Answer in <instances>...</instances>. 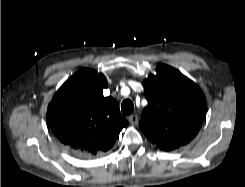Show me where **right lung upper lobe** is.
<instances>
[{"mask_svg":"<svg viewBox=\"0 0 245 187\" xmlns=\"http://www.w3.org/2000/svg\"><path fill=\"white\" fill-rule=\"evenodd\" d=\"M105 76L83 68L56 92L47 109L49 126L58 140L73 151L90 156L112 148L122 128L128 125L118 103L104 97Z\"/></svg>","mask_w":245,"mask_h":187,"instance_id":"1","label":"right lung upper lobe"}]
</instances>
